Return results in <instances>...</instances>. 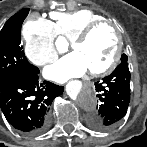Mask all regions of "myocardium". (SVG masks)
Returning a JSON list of instances; mask_svg holds the SVG:
<instances>
[{
  "label": "myocardium",
  "mask_w": 147,
  "mask_h": 147,
  "mask_svg": "<svg viewBox=\"0 0 147 147\" xmlns=\"http://www.w3.org/2000/svg\"><path fill=\"white\" fill-rule=\"evenodd\" d=\"M101 27H110L114 30L116 34V38H117V46H116L115 53L112 57V60L110 61L108 65H106L100 70L89 71L90 75H92L93 77L105 76L111 73L117 67L121 59L122 51H123V40H122V36L119 30L112 22L108 20H100V21H96L88 25L85 29L79 32L71 40V47L73 48L76 44L85 42L95 30Z\"/></svg>",
  "instance_id": "1"
}]
</instances>
